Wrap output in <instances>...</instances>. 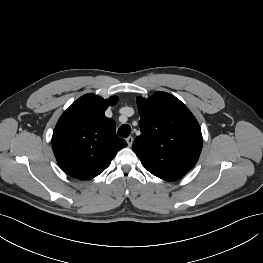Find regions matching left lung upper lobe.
<instances>
[{
  "mask_svg": "<svg viewBox=\"0 0 263 263\" xmlns=\"http://www.w3.org/2000/svg\"><path fill=\"white\" fill-rule=\"evenodd\" d=\"M141 135L132 146L143 166L157 177L167 171L182 175L197 163L202 149L199 124L175 96L156 92L137 98Z\"/></svg>",
  "mask_w": 263,
  "mask_h": 263,
  "instance_id": "1",
  "label": "left lung upper lobe"
}]
</instances>
